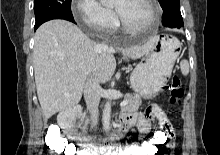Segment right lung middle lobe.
<instances>
[{"mask_svg":"<svg viewBox=\"0 0 220 155\" xmlns=\"http://www.w3.org/2000/svg\"><path fill=\"white\" fill-rule=\"evenodd\" d=\"M34 13L36 23L54 15L73 17L71 12V0H34Z\"/></svg>","mask_w":220,"mask_h":155,"instance_id":"1","label":"right lung middle lobe"}]
</instances>
